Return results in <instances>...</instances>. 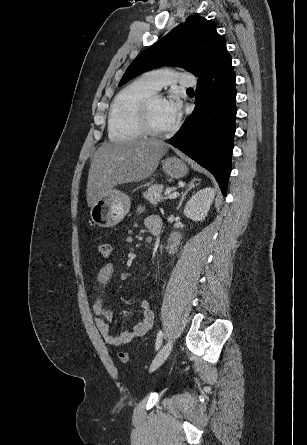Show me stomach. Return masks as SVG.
I'll use <instances>...</instances> for the list:
<instances>
[{"label": "stomach", "instance_id": "0dacf381", "mask_svg": "<svg viewBox=\"0 0 307 445\" xmlns=\"http://www.w3.org/2000/svg\"><path fill=\"white\" fill-rule=\"evenodd\" d=\"M162 168L164 172H167L173 178H180V176H185L188 172V166L180 158H176V156L162 160ZM130 204L128 194L115 188L111 194L98 198L97 202L91 206L90 216L94 225L103 227V229H112V227L119 225L124 216L128 214Z\"/></svg>", "mask_w": 307, "mask_h": 445}]
</instances>
